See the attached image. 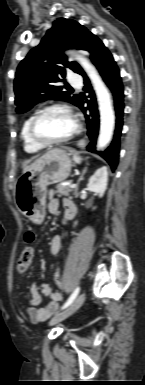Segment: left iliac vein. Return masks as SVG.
<instances>
[{
	"instance_id": "left-iliac-vein-1",
	"label": "left iliac vein",
	"mask_w": 145,
	"mask_h": 385,
	"mask_svg": "<svg viewBox=\"0 0 145 385\" xmlns=\"http://www.w3.org/2000/svg\"><path fill=\"white\" fill-rule=\"evenodd\" d=\"M85 299H86V294L83 292L73 301V303L70 306H68L61 313L54 316L50 320L49 324L50 325L57 324V323L63 321L64 319H66L67 317H69L70 315H72L75 311H77L82 306Z\"/></svg>"
}]
</instances>
